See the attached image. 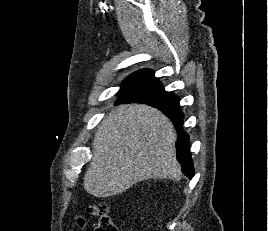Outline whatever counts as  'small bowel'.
I'll return each mask as SVG.
<instances>
[{
  "label": "small bowel",
  "instance_id": "1",
  "mask_svg": "<svg viewBox=\"0 0 268 231\" xmlns=\"http://www.w3.org/2000/svg\"><path fill=\"white\" fill-rule=\"evenodd\" d=\"M86 211L87 212H91L92 211V208L91 207H88L86 209ZM75 221H76V223L78 225V228L80 230H84L85 229V225H86V221H87V219L85 217L78 215V216L75 217Z\"/></svg>",
  "mask_w": 268,
  "mask_h": 231
}]
</instances>
